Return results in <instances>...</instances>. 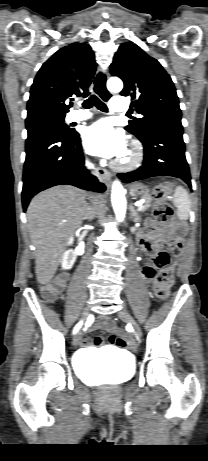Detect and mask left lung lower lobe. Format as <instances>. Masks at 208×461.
<instances>
[{
	"label": "left lung lower lobe",
	"instance_id": "1",
	"mask_svg": "<svg viewBox=\"0 0 208 461\" xmlns=\"http://www.w3.org/2000/svg\"><path fill=\"white\" fill-rule=\"evenodd\" d=\"M182 136V126L167 124L152 128L140 139L144 146L142 166L132 172L120 173L118 177L124 183H130L154 176H173L192 188Z\"/></svg>",
	"mask_w": 208,
	"mask_h": 461
}]
</instances>
